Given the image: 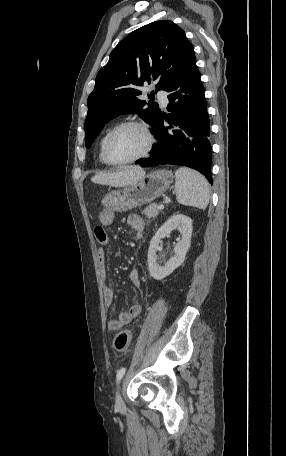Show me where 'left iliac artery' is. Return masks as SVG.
I'll return each instance as SVG.
<instances>
[{"instance_id":"left-iliac-artery-1","label":"left iliac artery","mask_w":286,"mask_h":456,"mask_svg":"<svg viewBox=\"0 0 286 456\" xmlns=\"http://www.w3.org/2000/svg\"><path fill=\"white\" fill-rule=\"evenodd\" d=\"M125 372H126V368H124V367L121 368L120 370H118L117 377H116L117 383H119L121 381V379L123 378Z\"/></svg>"}]
</instances>
